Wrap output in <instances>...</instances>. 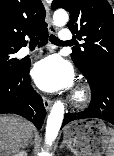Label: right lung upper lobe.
I'll return each instance as SVG.
<instances>
[{"label":"right lung upper lobe","mask_w":114,"mask_h":156,"mask_svg":"<svg viewBox=\"0 0 114 156\" xmlns=\"http://www.w3.org/2000/svg\"><path fill=\"white\" fill-rule=\"evenodd\" d=\"M41 0H0V47L19 49L26 34L47 28Z\"/></svg>","instance_id":"obj_1"}]
</instances>
